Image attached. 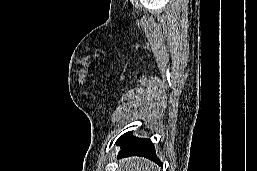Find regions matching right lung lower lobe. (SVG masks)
<instances>
[{
	"mask_svg": "<svg viewBox=\"0 0 257 171\" xmlns=\"http://www.w3.org/2000/svg\"><path fill=\"white\" fill-rule=\"evenodd\" d=\"M116 143L121 146L119 157L137 155L151 159L161 166L163 165L157 157L150 139L136 138L132 136V132H127L123 134Z\"/></svg>",
	"mask_w": 257,
	"mask_h": 171,
	"instance_id": "right-lung-lower-lobe-1",
	"label": "right lung lower lobe"
}]
</instances>
